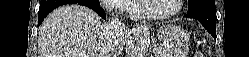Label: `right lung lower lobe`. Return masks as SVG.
<instances>
[{"instance_id":"1","label":"right lung lower lobe","mask_w":249,"mask_h":57,"mask_svg":"<svg viewBox=\"0 0 249 57\" xmlns=\"http://www.w3.org/2000/svg\"><path fill=\"white\" fill-rule=\"evenodd\" d=\"M64 4H80L93 9L98 15L106 20V14L100 6H96L85 2V0H41L38 12V26L43 22L44 18L56 7Z\"/></svg>"}]
</instances>
